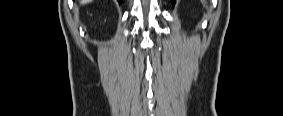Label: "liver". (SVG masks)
Segmentation results:
<instances>
[{
  "label": "liver",
  "instance_id": "1",
  "mask_svg": "<svg viewBox=\"0 0 283 116\" xmlns=\"http://www.w3.org/2000/svg\"><path fill=\"white\" fill-rule=\"evenodd\" d=\"M90 1H91V0H81L80 3L85 4V3H88V2H90Z\"/></svg>",
  "mask_w": 283,
  "mask_h": 116
}]
</instances>
